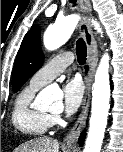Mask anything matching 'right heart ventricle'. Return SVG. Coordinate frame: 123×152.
<instances>
[{"instance_id":"right-heart-ventricle-1","label":"right heart ventricle","mask_w":123,"mask_h":152,"mask_svg":"<svg viewBox=\"0 0 123 152\" xmlns=\"http://www.w3.org/2000/svg\"><path fill=\"white\" fill-rule=\"evenodd\" d=\"M38 89L27 86L16 98L11 116L14 127L30 136H43L51 127V115L32 106Z\"/></svg>"}]
</instances>
